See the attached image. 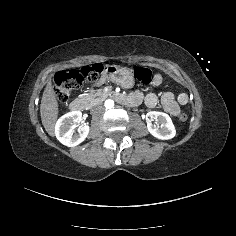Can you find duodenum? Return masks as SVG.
<instances>
[{
	"label": "duodenum",
	"mask_w": 236,
	"mask_h": 236,
	"mask_svg": "<svg viewBox=\"0 0 236 236\" xmlns=\"http://www.w3.org/2000/svg\"><path fill=\"white\" fill-rule=\"evenodd\" d=\"M113 97L120 103L129 106H136L140 103V99L135 95H123L119 93H114ZM84 107L85 104L82 99H74L69 105L70 110L74 113L82 112L84 110Z\"/></svg>",
	"instance_id": "obj_1"
}]
</instances>
